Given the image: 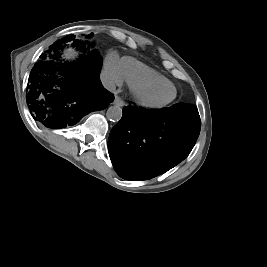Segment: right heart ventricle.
Listing matches in <instances>:
<instances>
[{
	"label": "right heart ventricle",
	"instance_id": "obj_1",
	"mask_svg": "<svg viewBox=\"0 0 267 267\" xmlns=\"http://www.w3.org/2000/svg\"><path fill=\"white\" fill-rule=\"evenodd\" d=\"M121 67L123 77L130 86H134L143 82L169 81L163 75L133 58H123L121 60Z\"/></svg>",
	"mask_w": 267,
	"mask_h": 267
}]
</instances>
